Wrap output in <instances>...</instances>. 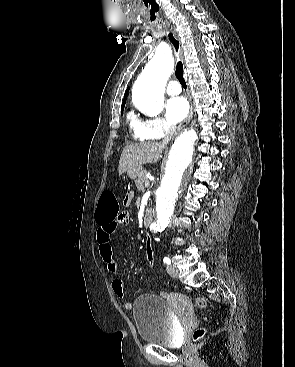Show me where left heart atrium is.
Instances as JSON below:
<instances>
[{"label":"left heart atrium","mask_w":295,"mask_h":367,"mask_svg":"<svg viewBox=\"0 0 295 367\" xmlns=\"http://www.w3.org/2000/svg\"><path fill=\"white\" fill-rule=\"evenodd\" d=\"M189 111V105L184 97H174L166 103V115L172 123L184 119Z\"/></svg>","instance_id":"obj_1"}]
</instances>
